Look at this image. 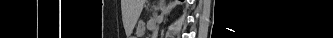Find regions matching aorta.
I'll return each mask as SVG.
<instances>
[{"label":"aorta","instance_id":"1","mask_svg":"<svg viewBox=\"0 0 333 38\" xmlns=\"http://www.w3.org/2000/svg\"><path fill=\"white\" fill-rule=\"evenodd\" d=\"M159 6H160V8H162V6H163V0H161ZM163 17H164V15H163V13H161L160 15H158V17L156 19L157 20V24L155 25V27L153 28V31H152V37L153 38H157V36H158L159 24L162 22Z\"/></svg>","mask_w":333,"mask_h":38}]
</instances>
